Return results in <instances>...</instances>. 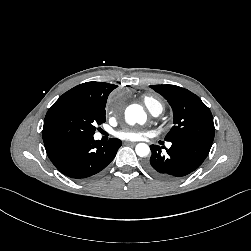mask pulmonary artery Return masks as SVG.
Listing matches in <instances>:
<instances>
[{"label":"pulmonary artery","mask_w":251,"mask_h":251,"mask_svg":"<svg viewBox=\"0 0 251 251\" xmlns=\"http://www.w3.org/2000/svg\"><path fill=\"white\" fill-rule=\"evenodd\" d=\"M150 112L153 116H158L161 113L159 109H151Z\"/></svg>","instance_id":"pulmonary-artery-1"}]
</instances>
